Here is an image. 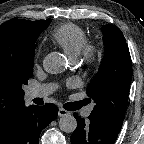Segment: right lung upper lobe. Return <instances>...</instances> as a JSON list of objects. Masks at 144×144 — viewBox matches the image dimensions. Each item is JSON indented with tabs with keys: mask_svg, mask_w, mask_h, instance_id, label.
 <instances>
[{
	"mask_svg": "<svg viewBox=\"0 0 144 144\" xmlns=\"http://www.w3.org/2000/svg\"><path fill=\"white\" fill-rule=\"evenodd\" d=\"M51 19L28 21L12 19L0 26V133L24 107V91L12 76V67L27 53L32 37L40 34Z\"/></svg>",
	"mask_w": 144,
	"mask_h": 144,
	"instance_id": "1",
	"label": "right lung upper lobe"
}]
</instances>
